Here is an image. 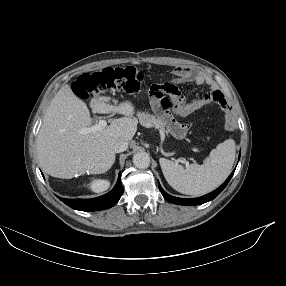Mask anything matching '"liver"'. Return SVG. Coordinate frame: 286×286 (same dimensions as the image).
<instances>
[{
  "label": "liver",
  "mask_w": 286,
  "mask_h": 286,
  "mask_svg": "<svg viewBox=\"0 0 286 286\" xmlns=\"http://www.w3.org/2000/svg\"><path fill=\"white\" fill-rule=\"evenodd\" d=\"M94 113H117L124 117L113 120L96 133L83 134L92 124L89 109L69 85H64L52 99L37 137L39 164L47 174L71 179L75 174H102L115 162L114 145L119 139L128 142L137 131L135 107L130 101L110 104L108 98H93Z\"/></svg>",
  "instance_id": "obj_1"
}]
</instances>
